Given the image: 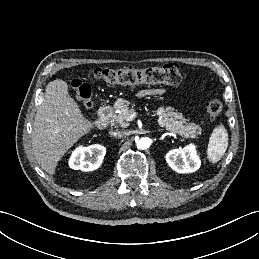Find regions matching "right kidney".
I'll return each instance as SVG.
<instances>
[{
  "instance_id": "ca27d5eb",
  "label": "right kidney",
  "mask_w": 259,
  "mask_h": 259,
  "mask_svg": "<svg viewBox=\"0 0 259 259\" xmlns=\"http://www.w3.org/2000/svg\"><path fill=\"white\" fill-rule=\"evenodd\" d=\"M105 154L106 148L99 144L79 146L72 152L69 166L74 170L93 171L100 167Z\"/></svg>"
}]
</instances>
